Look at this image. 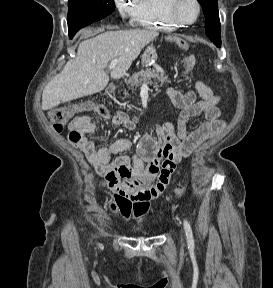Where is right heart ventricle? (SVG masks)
<instances>
[{
    "label": "right heart ventricle",
    "instance_id": "obj_1",
    "mask_svg": "<svg viewBox=\"0 0 273 288\" xmlns=\"http://www.w3.org/2000/svg\"><path fill=\"white\" fill-rule=\"evenodd\" d=\"M132 21L146 29L173 30L178 26L167 15L166 0H138Z\"/></svg>",
    "mask_w": 273,
    "mask_h": 288
}]
</instances>
